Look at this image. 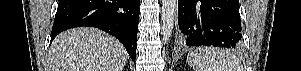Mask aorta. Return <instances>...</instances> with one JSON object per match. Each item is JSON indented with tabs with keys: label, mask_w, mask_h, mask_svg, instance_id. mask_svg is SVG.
<instances>
[{
	"label": "aorta",
	"mask_w": 301,
	"mask_h": 71,
	"mask_svg": "<svg viewBox=\"0 0 301 71\" xmlns=\"http://www.w3.org/2000/svg\"><path fill=\"white\" fill-rule=\"evenodd\" d=\"M177 0H162L161 35L164 43L170 40L176 16Z\"/></svg>",
	"instance_id": "aorta-1"
}]
</instances>
